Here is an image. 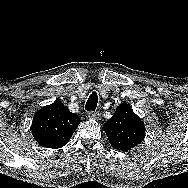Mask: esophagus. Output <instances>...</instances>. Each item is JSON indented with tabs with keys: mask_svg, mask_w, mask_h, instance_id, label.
<instances>
[{
	"mask_svg": "<svg viewBox=\"0 0 188 188\" xmlns=\"http://www.w3.org/2000/svg\"><path fill=\"white\" fill-rule=\"evenodd\" d=\"M88 117L91 118V119L99 120L100 119V113L99 112L90 111L88 113Z\"/></svg>",
	"mask_w": 188,
	"mask_h": 188,
	"instance_id": "esophagus-1",
	"label": "esophagus"
}]
</instances>
